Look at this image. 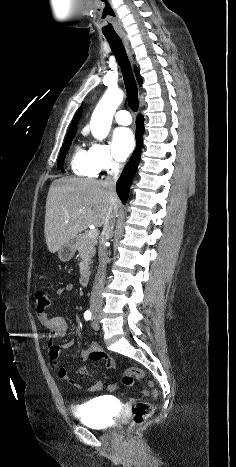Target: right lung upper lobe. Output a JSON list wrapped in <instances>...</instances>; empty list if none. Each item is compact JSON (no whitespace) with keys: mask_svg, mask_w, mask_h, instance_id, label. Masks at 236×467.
I'll return each mask as SVG.
<instances>
[{"mask_svg":"<svg viewBox=\"0 0 236 467\" xmlns=\"http://www.w3.org/2000/svg\"><path fill=\"white\" fill-rule=\"evenodd\" d=\"M135 75H136V78H137V81H138V84L141 85L142 84V78L139 74V71L137 68H135ZM81 112L82 110L80 109L76 115L74 116L73 120H72V124L69 128V131H68V134H72V133H76L77 131V124H78V121L80 119V116H81Z\"/></svg>","mask_w":236,"mask_h":467,"instance_id":"obj_1","label":"right lung upper lobe"}]
</instances>
